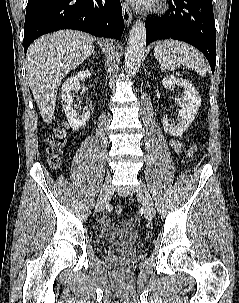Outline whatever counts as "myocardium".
Here are the masks:
<instances>
[{
  "mask_svg": "<svg viewBox=\"0 0 239 303\" xmlns=\"http://www.w3.org/2000/svg\"><path fill=\"white\" fill-rule=\"evenodd\" d=\"M167 7V0H153L149 6L150 10L154 12H163Z\"/></svg>",
  "mask_w": 239,
  "mask_h": 303,
  "instance_id": "f54148a6",
  "label": "myocardium"
}]
</instances>
